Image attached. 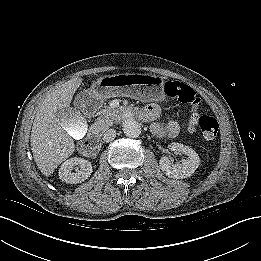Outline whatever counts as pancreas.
<instances>
[{
	"instance_id": "obj_1",
	"label": "pancreas",
	"mask_w": 261,
	"mask_h": 261,
	"mask_svg": "<svg viewBox=\"0 0 261 261\" xmlns=\"http://www.w3.org/2000/svg\"><path fill=\"white\" fill-rule=\"evenodd\" d=\"M116 115L114 113L112 114H106L101 115L97 121L93 124V129L100 133L107 130L110 126L113 125V121L115 120Z\"/></svg>"
}]
</instances>
